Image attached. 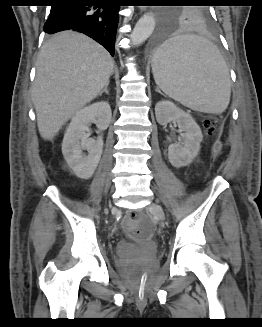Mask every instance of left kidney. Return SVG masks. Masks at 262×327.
Wrapping results in <instances>:
<instances>
[{
  "mask_svg": "<svg viewBox=\"0 0 262 327\" xmlns=\"http://www.w3.org/2000/svg\"><path fill=\"white\" fill-rule=\"evenodd\" d=\"M155 114L160 125H166L176 120L178 127L184 133L178 143L168 147V158L176 168L189 165L198 155L203 134L193 117L173 102L163 100L156 104Z\"/></svg>",
  "mask_w": 262,
  "mask_h": 327,
  "instance_id": "5707ae66",
  "label": "left kidney"
}]
</instances>
